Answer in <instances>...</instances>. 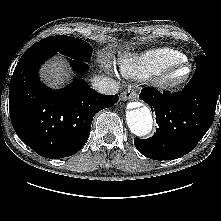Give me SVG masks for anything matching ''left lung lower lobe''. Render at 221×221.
I'll list each match as a JSON object with an SVG mask.
<instances>
[{
    "label": "left lung lower lobe",
    "instance_id": "0a47b994",
    "mask_svg": "<svg viewBox=\"0 0 221 221\" xmlns=\"http://www.w3.org/2000/svg\"><path fill=\"white\" fill-rule=\"evenodd\" d=\"M139 97L155 112L158 128L148 139H134L137 150L154 160H172L192 151L213 123L221 103V70L196 71L176 93L143 89Z\"/></svg>",
    "mask_w": 221,
    "mask_h": 221
}]
</instances>
